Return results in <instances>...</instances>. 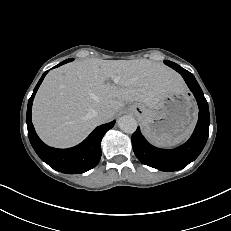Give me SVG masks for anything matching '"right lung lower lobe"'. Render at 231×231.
<instances>
[{
  "mask_svg": "<svg viewBox=\"0 0 231 231\" xmlns=\"http://www.w3.org/2000/svg\"><path fill=\"white\" fill-rule=\"evenodd\" d=\"M72 60L67 59L55 67ZM47 73L48 71L42 75L28 101L26 123L30 143L41 160L54 170L66 174L84 173L98 164L101 158V140L104 134L114 126L115 121L98 126L82 143L75 147L56 149L45 145L34 130L31 121V108L34 96Z\"/></svg>",
  "mask_w": 231,
  "mask_h": 231,
  "instance_id": "98d812e1",
  "label": "right lung lower lobe"
}]
</instances>
